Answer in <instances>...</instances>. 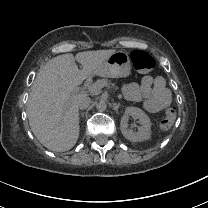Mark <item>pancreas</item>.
<instances>
[{"label": "pancreas", "instance_id": "obj_1", "mask_svg": "<svg viewBox=\"0 0 208 208\" xmlns=\"http://www.w3.org/2000/svg\"><path fill=\"white\" fill-rule=\"evenodd\" d=\"M97 82L101 83L103 86H107L108 88L110 87H113V88H118L115 86L114 83H111L110 81H108L107 79H101V80H98Z\"/></svg>", "mask_w": 208, "mask_h": 208}]
</instances>
